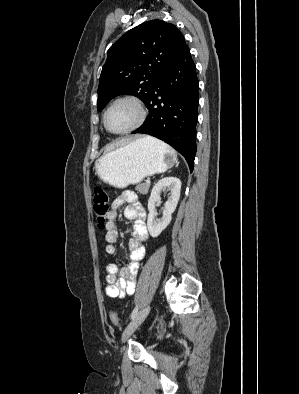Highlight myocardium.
<instances>
[{
    "label": "myocardium",
    "instance_id": "obj_1",
    "mask_svg": "<svg viewBox=\"0 0 299 394\" xmlns=\"http://www.w3.org/2000/svg\"><path fill=\"white\" fill-rule=\"evenodd\" d=\"M120 102H128V103H131L132 105L135 106V108L137 110V120L129 128H127L123 131L115 132V131L110 130L107 126V114L114 105H116ZM146 116H147L146 110H145L142 102L138 98L133 97V96H121V97L114 99L105 109L104 114H103V125H104L105 129L111 134L125 135V134L131 133V132L137 130L139 127H141L146 120Z\"/></svg>",
    "mask_w": 299,
    "mask_h": 394
}]
</instances>
